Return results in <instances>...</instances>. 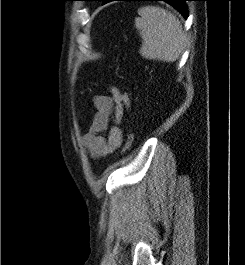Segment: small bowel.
I'll return each mask as SVG.
<instances>
[{
	"instance_id": "c3829d8e",
	"label": "small bowel",
	"mask_w": 245,
	"mask_h": 265,
	"mask_svg": "<svg viewBox=\"0 0 245 265\" xmlns=\"http://www.w3.org/2000/svg\"><path fill=\"white\" fill-rule=\"evenodd\" d=\"M109 95H95L92 98L96 113L89 131L83 135L81 142L94 158L113 153L123 141L120 123L125 112L123 93L114 86L109 87ZM114 124L109 127L110 121ZM107 131V134L103 133Z\"/></svg>"
}]
</instances>
